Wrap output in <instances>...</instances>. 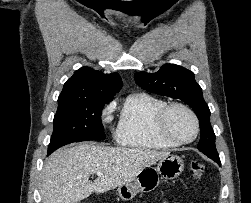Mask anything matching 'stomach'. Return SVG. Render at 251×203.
Returning a JSON list of instances; mask_svg holds the SVG:
<instances>
[{
	"mask_svg": "<svg viewBox=\"0 0 251 203\" xmlns=\"http://www.w3.org/2000/svg\"><path fill=\"white\" fill-rule=\"evenodd\" d=\"M184 169L183 160L176 155H168L161 158L156 167L144 168L136 178L129 183L118 187L117 194L124 201L132 200L138 192H150L154 190L160 178L175 179Z\"/></svg>",
	"mask_w": 251,
	"mask_h": 203,
	"instance_id": "obj_1",
	"label": "stomach"
}]
</instances>
